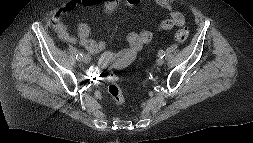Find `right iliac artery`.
Masks as SVG:
<instances>
[{"label": "right iliac artery", "instance_id": "1", "mask_svg": "<svg viewBox=\"0 0 253 143\" xmlns=\"http://www.w3.org/2000/svg\"><path fill=\"white\" fill-rule=\"evenodd\" d=\"M82 58H83V53H78V54L76 55V59H77L78 61H81Z\"/></svg>", "mask_w": 253, "mask_h": 143}]
</instances>
